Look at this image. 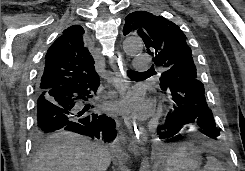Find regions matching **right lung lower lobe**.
<instances>
[{
    "label": "right lung lower lobe",
    "instance_id": "right-lung-lower-lobe-1",
    "mask_svg": "<svg viewBox=\"0 0 245 171\" xmlns=\"http://www.w3.org/2000/svg\"><path fill=\"white\" fill-rule=\"evenodd\" d=\"M100 79L37 90L35 136L59 129L105 141L116 135L115 121L90 103Z\"/></svg>",
    "mask_w": 245,
    "mask_h": 171
}]
</instances>
